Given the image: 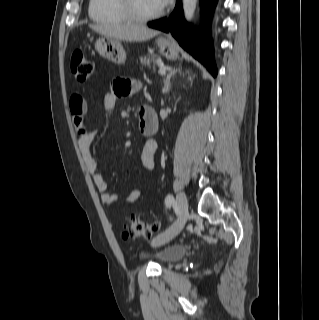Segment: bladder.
<instances>
[{
  "mask_svg": "<svg viewBox=\"0 0 319 320\" xmlns=\"http://www.w3.org/2000/svg\"><path fill=\"white\" fill-rule=\"evenodd\" d=\"M186 253V248L182 245H166L154 248L144 247L139 252L141 259H154L160 265H166L181 259Z\"/></svg>",
  "mask_w": 319,
  "mask_h": 320,
  "instance_id": "31cf9c89",
  "label": "bladder"
}]
</instances>
